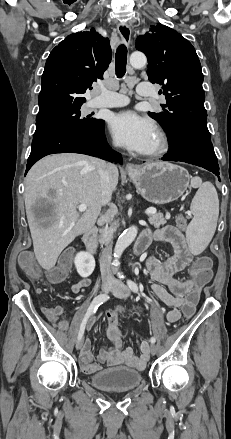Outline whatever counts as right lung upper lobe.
<instances>
[{
	"mask_svg": "<svg viewBox=\"0 0 231 439\" xmlns=\"http://www.w3.org/2000/svg\"><path fill=\"white\" fill-rule=\"evenodd\" d=\"M111 57L109 40L93 28L67 36L46 61L36 118L81 107L83 94L103 78Z\"/></svg>",
	"mask_w": 231,
	"mask_h": 439,
	"instance_id": "obj_1",
	"label": "right lung upper lobe"
}]
</instances>
